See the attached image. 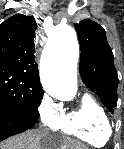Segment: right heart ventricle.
<instances>
[{
  "label": "right heart ventricle",
  "mask_w": 124,
  "mask_h": 149,
  "mask_svg": "<svg viewBox=\"0 0 124 149\" xmlns=\"http://www.w3.org/2000/svg\"><path fill=\"white\" fill-rule=\"evenodd\" d=\"M57 130L94 147L105 146L111 136L106 110L88 94L83 96L77 108L63 115Z\"/></svg>",
  "instance_id": "obj_1"
}]
</instances>
